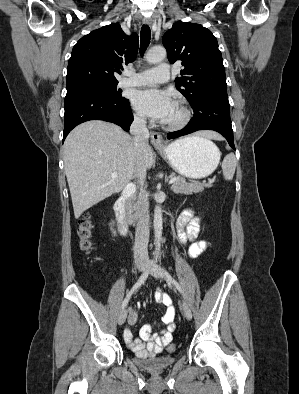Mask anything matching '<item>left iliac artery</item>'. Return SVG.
I'll return each mask as SVG.
<instances>
[{
  "instance_id": "44dca946",
  "label": "left iliac artery",
  "mask_w": 299,
  "mask_h": 394,
  "mask_svg": "<svg viewBox=\"0 0 299 394\" xmlns=\"http://www.w3.org/2000/svg\"><path fill=\"white\" fill-rule=\"evenodd\" d=\"M164 273H165V276H166L167 280H168L169 282H171V283L182 293L181 286H180L179 283H178V282L167 272L166 269H164Z\"/></svg>"
}]
</instances>
